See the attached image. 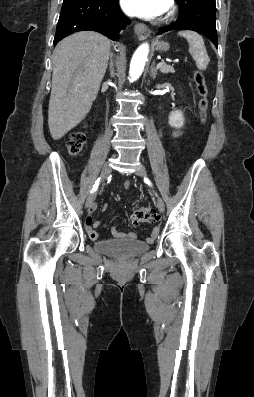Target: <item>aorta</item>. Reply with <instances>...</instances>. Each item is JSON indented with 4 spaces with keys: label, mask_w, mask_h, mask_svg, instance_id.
<instances>
[{
    "label": "aorta",
    "mask_w": 254,
    "mask_h": 397,
    "mask_svg": "<svg viewBox=\"0 0 254 397\" xmlns=\"http://www.w3.org/2000/svg\"><path fill=\"white\" fill-rule=\"evenodd\" d=\"M149 52V45L142 44L134 53L130 64V81H134L142 74Z\"/></svg>",
    "instance_id": "762f6f07"
}]
</instances>
